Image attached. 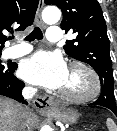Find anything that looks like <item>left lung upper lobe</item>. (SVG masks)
<instances>
[{"mask_svg": "<svg viewBox=\"0 0 117 131\" xmlns=\"http://www.w3.org/2000/svg\"><path fill=\"white\" fill-rule=\"evenodd\" d=\"M58 6L63 13L61 28L73 32L76 38L67 40L66 54L88 63L97 71L101 90L111 92L110 103L115 104L114 78L106 23L97 0H45Z\"/></svg>", "mask_w": 117, "mask_h": 131, "instance_id": "left-lung-upper-lobe-1", "label": "left lung upper lobe"}]
</instances>
